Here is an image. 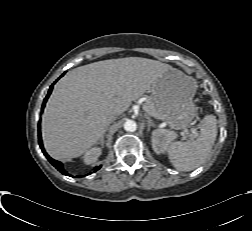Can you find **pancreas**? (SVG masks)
<instances>
[{
  "mask_svg": "<svg viewBox=\"0 0 252 231\" xmlns=\"http://www.w3.org/2000/svg\"><path fill=\"white\" fill-rule=\"evenodd\" d=\"M145 106H147V108L149 109V111H150L155 117H158L157 110H156L154 104H153L151 101L146 102V103H145Z\"/></svg>",
  "mask_w": 252,
  "mask_h": 231,
  "instance_id": "cf45deb5",
  "label": "pancreas"
}]
</instances>
